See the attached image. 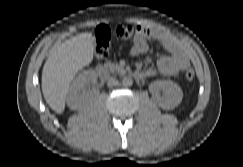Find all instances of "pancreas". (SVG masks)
<instances>
[{
    "label": "pancreas",
    "mask_w": 243,
    "mask_h": 167,
    "mask_svg": "<svg viewBox=\"0 0 243 167\" xmlns=\"http://www.w3.org/2000/svg\"><path fill=\"white\" fill-rule=\"evenodd\" d=\"M105 67L108 68L113 73L124 71V69L118 63L115 62H107L105 64Z\"/></svg>",
    "instance_id": "1"
}]
</instances>
